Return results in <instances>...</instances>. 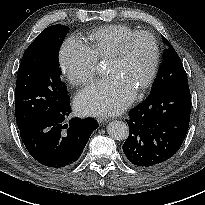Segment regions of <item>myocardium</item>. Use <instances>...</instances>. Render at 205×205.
Returning a JSON list of instances; mask_svg holds the SVG:
<instances>
[{
	"label": "myocardium",
	"mask_w": 205,
	"mask_h": 205,
	"mask_svg": "<svg viewBox=\"0 0 205 205\" xmlns=\"http://www.w3.org/2000/svg\"><path fill=\"white\" fill-rule=\"evenodd\" d=\"M142 36L147 37L151 41L152 48H153V59H152V64H151L149 74L145 79V81L141 84V86L136 90L137 93H141L144 90H146L153 83L156 77L158 67H159V61H160V48L156 37L148 31H136L128 35L123 40L118 50L108 60L113 62L122 60L126 56L128 47L132 43V41Z\"/></svg>",
	"instance_id": "myocardium-1"
}]
</instances>
